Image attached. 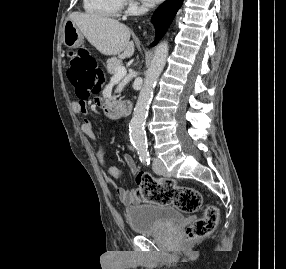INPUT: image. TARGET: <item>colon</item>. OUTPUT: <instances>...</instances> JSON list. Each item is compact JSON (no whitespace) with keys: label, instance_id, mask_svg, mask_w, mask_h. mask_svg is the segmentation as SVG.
Instances as JSON below:
<instances>
[{"label":"colon","instance_id":"colon-1","mask_svg":"<svg viewBox=\"0 0 286 269\" xmlns=\"http://www.w3.org/2000/svg\"><path fill=\"white\" fill-rule=\"evenodd\" d=\"M100 71L95 59L85 50L72 52L69 56L68 77L81 97H88L96 92L97 77ZM136 194L141 200L154 201L159 204H174L185 213L198 210L202 203L201 193L191 187L174 186L162 183L147 173H139L136 177ZM218 222V210L207 206L202 217L193 222L185 233L186 242L209 235Z\"/></svg>","mask_w":286,"mask_h":269}]
</instances>
